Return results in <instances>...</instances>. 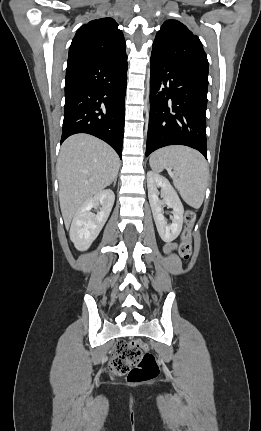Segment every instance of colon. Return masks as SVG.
<instances>
[{
  "mask_svg": "<svg viewBox=\"0 0 261 431\" xmlns=\"http://www.w3.org/2000/svg\"><path fill=\"white\" fill-rule=\"evenodd\" d=\"M195 220L196 213L187 211L186 226L179 246V255L185 262H189L193 254L192 234ZM144 348L145 345L140 341L119 342L108 364L109 372L117 376L126 374L128 382L136 385L154 380L159 374V367L155 356L150 352H144Z\"/></svg>",
  "mask_w": 261,
  "mask_h": 431,
  "instance_id": "5ec220e1",
  "label": "colon"
}]
</instances>
